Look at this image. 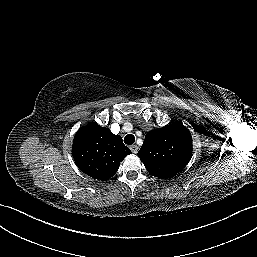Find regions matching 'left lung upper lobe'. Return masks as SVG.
I'll return each instance as SVG.
<instances>
[{"mask_svg": "<svg viewBox=\"0 0 257 257\" xmlns=\"http://www.w3.org/2000/svg\"><path fill=\"white\" fill-rule=\"evenodd\" d=\"M191 153L190 132L182 125L170 124L149 131L138 156L151 175L169 179L183 170Z\"/></svg>", "mask_w": 257, "mask_h": 257, "instance_id": "left-lung-upper-lobe-1", "label": "left lung upper lobe"}]
</instances>
